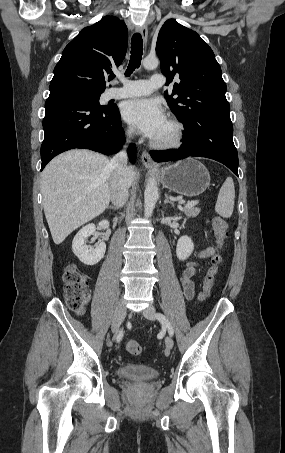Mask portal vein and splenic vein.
I'll return each instance as SVG.
<instances>
[{"label": "portal vein and splenic vein", "instance_id": "1", "mask_svg": "<svg viewBox=\"0 0 285 453\" xmlns=\"http://www.w3.org/2000/svg\"><path fill=\"white\" fill-rule=\"evenodd\" d=\"M181 203V202H180ZM198 204V201H191V202H188L186 205H185V208H190V207H194L195 205Z\"/></svg>", "mask_w": 285, "mask_h": 453}]
</instances>
